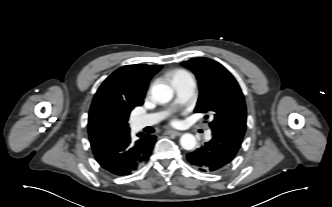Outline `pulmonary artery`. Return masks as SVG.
Here are the masks:
<instances>
[{"label": "pulmonary artery", "instance_id": "pulmonary-artery-1", "mask_svg": "<svg viewBox=\"0 0 332 207\" xmlns=\"http://www.w3.org/2000/svg\"><path fill=\"white\" fill-rule=\"evenodd\" d=\"M194 91H195V82L192 77H188L180 81L176 86L177 103L180 105L187 103L193 97ZM165 115H166L165 112H159V113L139 116L135 118L134 123L137 128L151 126L157 123L159 120H161ZM205 136L207 139H209L211 137V132L207 131Z\"/></svg>", "mask_w": 332, "mask_h": 207}]
</instances>
